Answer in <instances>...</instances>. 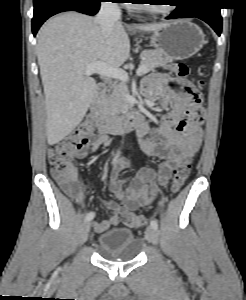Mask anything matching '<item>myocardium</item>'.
<instances>
[{
	"mask_svg": "<svg viewBox=\"0 0 246 300\" xmlns=\"http://www.w3.org/2000/svg\"><path fill=\"white\" fill-rule=\"evenodd\" d=\"M141 8H142V10H145L154 15H170L171 13L174 12V10L176 9V6L174 4H171L168 6V8L163 9V10L152 9L148 5H143V6H141Z\"/></svg>",
	"mask_w": 246,
	"mask_h": 300,
	"instance_id": "f54148a6",
	"label": "myocardium"
}]
</instances>
